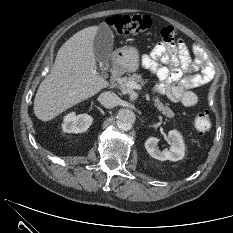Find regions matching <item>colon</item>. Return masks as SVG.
<instances>
[{
	"mask_svg": "<svg viewBox=\"0 0 233 233\" xmlns=\"http://www.w3.org/2000/svg\"><path fill=\"white\" fill-rule=\"evenodd\" d=\"M110 28L118 34H139L152 26V20L145 15H116L106 20ZM195 130L202 134L209 131L211 120L207 111L200 112L194 119Z\"/></svg>",
	"mask_w": 233,
	"mask_h": 233,
	"instance_id": "1",
	"label": "colon"
}]
</instances>
